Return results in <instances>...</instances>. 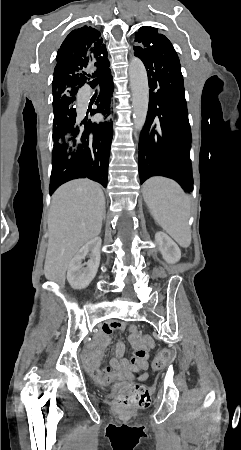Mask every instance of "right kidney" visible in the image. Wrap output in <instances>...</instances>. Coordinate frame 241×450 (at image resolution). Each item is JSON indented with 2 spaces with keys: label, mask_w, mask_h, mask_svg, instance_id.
I'll return each instance as SVG.
<instances>
[{
  "label": "right kidney",
  "mask_w": 241,
  "mask_h": 450,
  "mask_svg": "<svg viewBox=\"0 0 241 450\" xmlns=\"http://www.w3.org/2000/svg\"><path fill=\"white\" fill-rule=\"evenodd\" d=\"M101 244V238H92L72 258L67 272V280L74 290H83L95 278L100 264ZM86 256L90 260L82 264V260H85ZM83 266H87V268H83Z\"/></svg>",
  "instance_id": "ca27d5eb"
}]
</instances>
